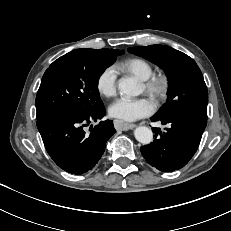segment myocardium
Segmentation results:
<instances>
[{
	"mask_svg": "<svg viewBox=\"0 0 231 231\" xmlns=\"http://www.w3.org/2000/svg\"><path fill=\"white\" fill-rule=\"evenodd\" d=\"M170 85L171 79L167 73L153 74L145 80L143 84L146 93H148L157 104L166 99Z\"/></svg>",
	"mask_w": 231,
	"mask_h": 231,
	"instance_id": "obj_1",
	"label": "myocardium"
}]
</instances>
